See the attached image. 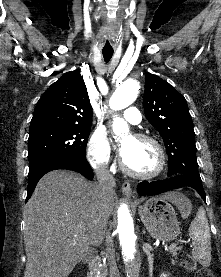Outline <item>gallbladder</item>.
Returning a JSON list of instances; mask_svg holds the SVG:
<instances>
[{
    "label": "gallbladder",
    "instance_id": "1",
    "mask_svg": "<svg viewBox=\"0 0 221 277\" xmlns=\"http://www.w3.org/2000/svg\"><path fill=\"white\" fill-rule=\"evenodd\" d=\"M89 257L87 256V257H85L84 259H83V262H87V261H89Z\"/></svg>",
    "mask_w": 221,
    "mask_h": 277
}]
</instances>
